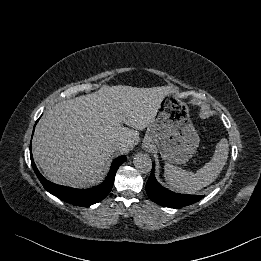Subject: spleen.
<instances>
[{
  "mask_svg": "<svg viewBox=\"0 0 261 261\" xmlns=\"http://www.w3.org/2000/svg\"><path fill=\"white\" fill-rule=\"evenodd\" d=\"M229 144L226 138L217 145L210 162L206 163L196 173L188 172L179 167L166 163L164 177L166 183L173 189L192 194L211 184L222 171L228 158Z\"/></svg>",
  "mask_w": 261,
  "mask_h": 261,
  "instance_id": "1",
  "label": "spleen"
}]
</instances>
